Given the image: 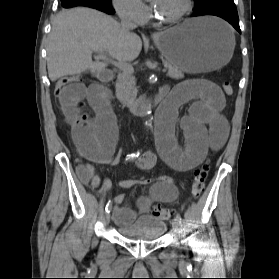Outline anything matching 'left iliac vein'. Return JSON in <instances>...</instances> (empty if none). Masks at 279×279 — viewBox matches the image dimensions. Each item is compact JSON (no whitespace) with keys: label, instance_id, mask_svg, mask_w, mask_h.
<instances>
[{"label":"left iliac vein","instance_id":"1","mask_svg":"<svg viewBox=\"0 0 279 279\" xmlns=\"http://www.w3.org/2000/svg\"><path fill=\"white\" fill-rule=\"evenodd\" d=\"M172 228H173V231L175 233H179L180 232V224H179V222L176 219H174L172 221Z\"/></svg>","mask_w":279,"mask_h":279}]
</instances>
